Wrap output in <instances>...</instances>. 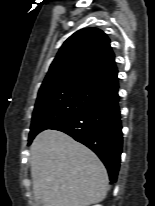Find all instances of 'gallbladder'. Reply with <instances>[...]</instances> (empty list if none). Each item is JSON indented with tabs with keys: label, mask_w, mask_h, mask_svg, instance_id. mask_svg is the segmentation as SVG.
Masks as SVG:
<instances>
[{
	"label": "gallbladder",
	"mask_w": 155,
	"mask_h": 206,
	"mask_svg": "<svg viewBox=\"0 0 155 206\" xmlns=\"http://www.w3.org/2000/svg\"><path fill=\"white\" fill-rule=\"evenodd\" d=\"M37 206H44V204H42V203H39Z\"/></svg>",
	"instance_id": "gallbladder-1"
}]
</instances>
